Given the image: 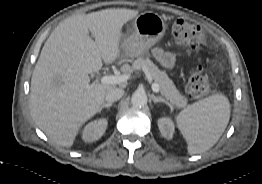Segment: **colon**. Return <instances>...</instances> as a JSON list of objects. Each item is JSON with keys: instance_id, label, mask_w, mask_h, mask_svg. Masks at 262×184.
<instances>
[{"instance_id": "colon-1", "label": "colon", "mask_w": 262, "mask_h": 184, "mask_svg": "<svg viewBox=\"0 0 262 184\" xmlns=\"http://www.w3.org/2000/svg\"><path fill=\"white\" fill-rule=\"evenodd\" d=\"M173 37L179 45L188 52L199 50L205 40L203 29L183 19H178L172 27ZM186 90L193 99L205 96L210 90V83L202 64H199L190 74Z\"/></svg>"}]
</instances>
